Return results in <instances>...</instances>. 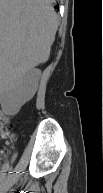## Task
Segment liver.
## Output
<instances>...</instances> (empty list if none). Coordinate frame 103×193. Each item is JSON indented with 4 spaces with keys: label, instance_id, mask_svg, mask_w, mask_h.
<instances>
[{
    "label": "liver",
    "instance_id": "6515ba94",
    "mask_svg": "<svg viewBox=\"0 0 103 193\" xmlns=\"http://www.w3.org/2000/svg\"><path fill=\"white\" fill-rule=\"evenodd\" d=\"M54 0H0L1 79L45 63L57 30Z\"/></svg>",
    "mask_w": 103,
    "mask_h": 193
}]
</instances>
